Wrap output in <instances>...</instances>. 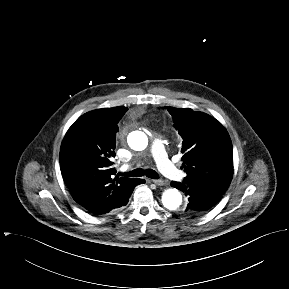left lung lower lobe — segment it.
I'll list each match as a JSON object with an SVG mask.
<instances>
[{
  "instance_id": "1",
  "label": "left lung lower lobe",
  "mask_w": 289,
  "mask_h": 289,
  "mask_svg": "<svg viewBox=\"0 0 289 289\" xmlns=\"http://www.w3.org/2000/svg\"><path fill=\"white\" fill-rule=\"evenodd\" d=\"M171 185L188 196V205L181 212L186 216L201 215L214 206L222 195L205 188L190 187L184 183L171 182Z\"/></svg>"
}]
</instances>
